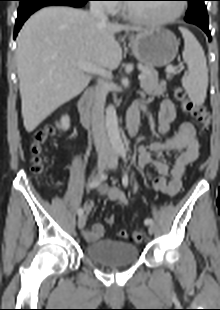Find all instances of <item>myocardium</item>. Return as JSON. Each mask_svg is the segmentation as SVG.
I'll use <instances>...</instances> for the list:
<instances>
[{
  "label": "myocardium",
  "mask_w": 220,
  "mask_h": 310,
  "mask_svg": "<svg viewBox=\"0 0 220 310\" xmlns=\"http://www.w3.org/2000/svg\"><path fill=\"white\" fill-rule=\"evenodd\" d=\"M185 11V7L183 5L182 2H179L177 4V10L175 11V13L169 17L163 18V19H148L139 15H136L134 13H132L129 8L128 5H123L122 7V13L123 15L130 19L133 22L139 23V24H143V25H147V26H164V25H168L171 24L173 22H175L176 20H178L184 13Z\"/></svg>",
  "instance_id": "obj_1"
}]
</instances>
